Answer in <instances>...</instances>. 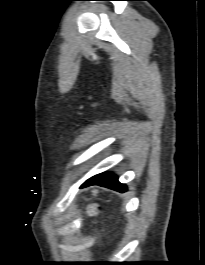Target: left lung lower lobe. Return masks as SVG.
<instances>
[{
    "mask_svg": "<svg viewBox=\"0 0 205 265\" xmlns=\"http://www.w3.org/2000/svg\"><path fill=\"white\" fill-rule=\"evenodd\" d=\"M92 185H100L118 192H125L127 190L126 185L121 184L118 181V177H116L110 172L100 173L89 178L82 184L81 188Z\"/></svg>",
    "mask_w": 205,
    "mask_h": 265,
    "instance_id": "left-lung-lower-lobe-1",
    "label": "left lung lower lobe"
}]
</instances>
